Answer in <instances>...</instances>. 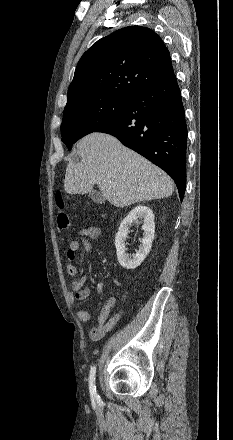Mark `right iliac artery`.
<instances>
[{
    "instance_id": "right-iliac-artery-1",
    "label": "right iliac artery",
    "mask_w": 233,
    "mask_h": 440,
    "mask_svg": "<svg viewBox=\"0 0 233 440\" xmlns=\"http://www.w3.org/2000/svg\"><path fill=\"white\" fill-rule=\"evenodd\" d=\"M95 373H96V367H91L90 375H89V391L92 399H97L98 395L96 392V386H95Z\"/></svg>"
}]
</instances>
